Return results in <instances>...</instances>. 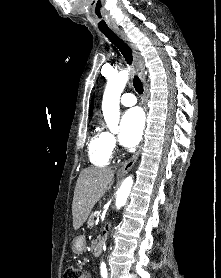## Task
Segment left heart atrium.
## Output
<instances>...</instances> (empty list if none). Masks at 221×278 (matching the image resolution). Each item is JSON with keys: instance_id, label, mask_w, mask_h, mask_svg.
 <instances>
[{"instance_id": "39dd6f15", "label": "left heart atrium", "mask_w": 221, "mask_h": 278, "mask_svg": "<svg viewBox=\"0 0 221 278\" xmlns=\"http://www.w3.org/2000/svg\"><path fill=\"white\" fill-rule=\"evenodd\" d=\"M145 119L138 108L128 110L121 120L120 142L126 147L137 145L142 137Z\"/></svg>"}]
</instances>
